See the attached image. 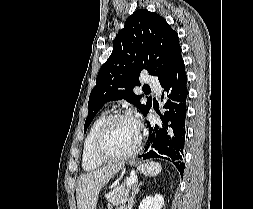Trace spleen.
I'll return each mask as SVG.
<instances>
[{"mask_svg": "<svg viewBox=\"0 0 253 209\" xmlns=\"http://www.w3.org/2000/svg\"><path fill=\"white\" fill-rule=\"evenodd\" d=\"M138 169L146 176H157L162 167L158 162L150 161L146 164H142L138 167Z\"/></svg>", "mask_w": 253, "mask_h": 209, "instance_id": "1", "label": "spleen"}]
</instances>
